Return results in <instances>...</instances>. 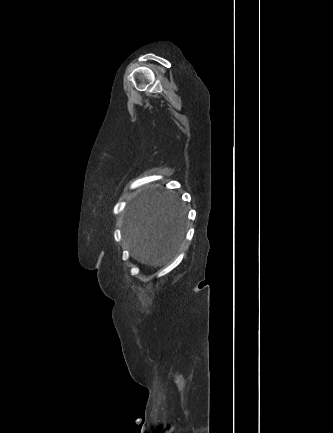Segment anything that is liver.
Here are the masks:
<instances>
[{
  "label": "liver",
  "mask_w": 333,
  "mask_h": 433,
  "mask_svg": "<svg viewBox=\"0 0 333 433\" xmlns=\"http://www.w3.org/2000/svg\"><path fill=\"white\" fill-rule=\"evenodd\" d=\"M185 231V211L178 197L155 187L144 190L128 205L122 229L131 256L154 267L173 260Z\"/></svg>",
  "instance_id": "liver-1"
}]
</instances>
